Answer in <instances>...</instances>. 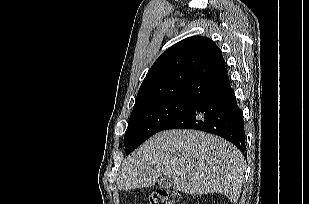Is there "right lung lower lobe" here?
I'll return each instance as SVG.
<instances>
[{"instance_id":"1","label":"right lung lower lobe","mask_w":309,"mask_h":204,"mask_svg":"<svg viewBox=\"0 0 309 204\" xmlns=\"http://www.w3.org/2000/svg\"><path fill=\"white\" fill-rule=\"evenodd\" d=\"M168 129L205 131L223 137L243 153L246 151L243 114L231 86L198 101L163 130Z\"/></svg>"}]
</instances>
